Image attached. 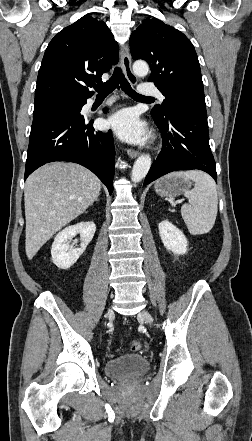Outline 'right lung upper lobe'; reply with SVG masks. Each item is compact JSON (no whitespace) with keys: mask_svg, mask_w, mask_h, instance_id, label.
I'll return each instance as SVG.
<instances>
[{"mask_svg":"<svg viewBox=\"0 0 252 441\" xmlns=\"http://www.w3.org/2000/svg\"><path fill=\"white\" fill-rule=\"evenodd\" d=\"M118 44L103 21L81 17L49 43L39 69L35 103L66 96L93 95L87 86L118 61Z\"/></svg>","mask_w":252,"mask_h":441,"instance_id":"cb5924a9","label":"right lung upper lobe"}]
</instances>
